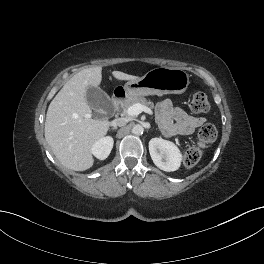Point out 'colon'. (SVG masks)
Wrapping results in <instances>:
<instances>
[{
	"instance_id": "colon-1",
	"label": "colon",
	"mask_w": 264,
	"mask_h": 264,
	"mask_svg": "<svg viewBox=\"0 0 264 264\" xmlns=\"http://www.w3.org/2000/svg\"><path fill=\"white\" fill-rule=\"evenodd\" d=\"M210 104L205 93L198 91L192 96L190 109L194 113H205L209 110ZM217 138V129L212 124H204L198 132L197 146L189 148L185 153L184 164L186 167L195 166L202 154V148L214 142Z\"/></svg>"
}]
</instances>
